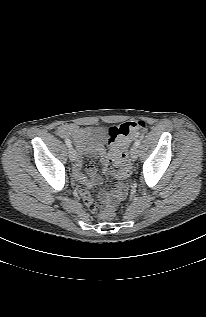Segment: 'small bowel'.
Here are the masks:
<instances>
[{
	"mask_svg": "<svg viewBox=\"0 0 206 317\" xmlns=\"http://www.w3.org/2000/svg\"><path fill=\"white\" fill-rule=\"evenodd\" d=\"M56 134L60 136L61 138L69 139L72 138L76 142V149H77V161L73 167V175L74 179L77 183L79 184H85L87 186H92L95 184H100L101 179L100 177L96 174L95 168L93 166H88L87 168V173L89 178H87L81 171L82 169V163H81V158L83 156L89 155V154H94L98 155L101 157L102 164L104 167V171L107 174H112L113 169L110 166V161L109 159L104 155V152L101 148H96V149H89L87 148L85 141H84V130L78 127L75 124H64L60 125L56 129ZM78 193L80 194L82 200L85 202V204L92 210L94 211L96 207V202L92 198L91 194L85 190L77 187ZM126 193V185L121 184L116 192V197L118 199H121L124 197Z\"/></svg>",
	"mask_w": 206,
	"mask_h": 317,
	"instance_id": "obj_1",
	"label": "small bowel"
}]
</instances>
